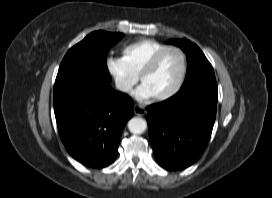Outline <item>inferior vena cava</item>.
I'll use <instances>...</instances> for the list:
<instances>
[{"mask_svg":"<svg viewBox=\"0 0 272 198\" xmlns=\"http://www.w3.org/2000/svg\"><path fill=\"white\" fill-rule=\"evenodd\" d=\"M115 85H116V88H117L118 90L122 91V92H128V91H130V89H131L130 85H128V84L125 83V82L117 81V82L115 83Z\"/></svg>","mask_w":272,"mask_h":198,"instance_id":"602c4592","label":"inferior vena cava"}]
</instances>
